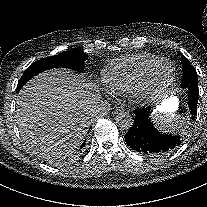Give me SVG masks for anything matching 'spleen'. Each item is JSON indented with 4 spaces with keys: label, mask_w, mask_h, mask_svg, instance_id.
<instances>
[{
    "label": "spleen",
    "mask_w": 207,
    "mask_h": 207,
    "mask_svg": "<svg viewBox=\"0 0 207 207\" xmlns=\"http://www.w3.org/2000/svg\"><path fill=\"white\" fill-rule=\"evenodd\" d=\"M182 128V123L177 118L159 116L153 122L154 131L163 136L174 137Z\"/></svg>",
    "instance_id": "obj_1"
}]
</instances>
